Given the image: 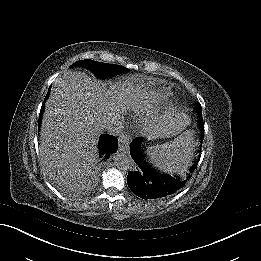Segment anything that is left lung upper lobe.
Masks as SVG:
<instances>
[{
    "mask_svg": "<svg viewBox=\"0 0 261 261\" xmlns=\"http://www.w3.org/2000/svg\"><path fill=\"white\" fill-rule=\"evenodd\" d=\"M195 110H196V112L198 113V115H199V117H200L199 122H198L199 125H200L201 127H204L203 119H202V107H201L200 103H197V105H196V107H195Z\"/></svg>",
    "mask_w": 261,
    "mask_h": 261,
    "instance_id": "left-lung-upper-lobe-1",
    "label": "left lung upper lobe"
}]
</instances>
